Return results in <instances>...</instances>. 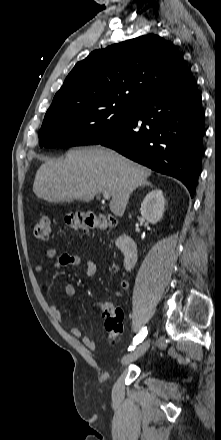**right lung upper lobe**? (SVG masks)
I'll list each match as a JSON object with an SVG mask.
<instances>
[{"mask_svg": "<svg viewBox=\"0 0 221 440\" xmlns=\"http://www.w3.org/2000/svg\"><path fill=\"white\" fill-rule=\"evenodd\" d=\"M191 80L186 63L172 43L157 35H144L95 50L78 62L48 111L105 103L135 107Z\"/></svg>", "mask_w": 221, "mask_h": 440, "instance_id": "right-lung-upper-lobe-1", "label": "right lung upper lobe"}]
</instances>
